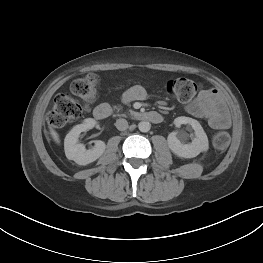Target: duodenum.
Listing matches in <instances>:
<instances>
[{
    "label": "duodenum",
    "instance_id": "1",
    "mask_svg": "<svg viewBox=\"0 0 263 263\" xmlns=\"http://www.w3.org/2000/svg\"><path fill=\"white\" fill-rule=\"evenodd\" d=\"M110 114L111 108L105 104L97 106L93 111V115L97 120L106 119ZM133 117L137 120H145L152 123H160L163 120L162 115L156 111L136 113Z\"/></svg>",
    "mask_w": 263,
    "mask_h": 263
}]
</instances>
